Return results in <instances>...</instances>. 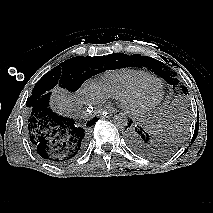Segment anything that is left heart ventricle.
<instances>
[{"label": "left heart ventricle", "mask_w": 213, "mask_h": 213, "mask_svg": "<svg viewBox=\"0 0 213 213\" xmlns=\"http://www.w3.org/2000/svg\"><path fill=\"white\" fill-rule=\"evenodd\" d=\"M159 93H160V87H159L158 83L152 82V83H149L143 89V91L141 93V99L144 102H149V101H152L155 98H157Z\"/></svg>", "instance_id": "left-heart-ventricle-1"}]
</instances>
